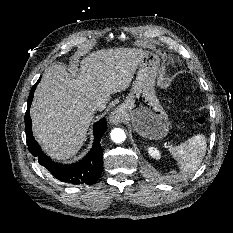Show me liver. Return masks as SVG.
I'll list each match as a JSON object with an SVG mask.
<instances>
[{
	"label": "liver",
	"instance_id": "liver-1",
	"mask_svg": "<svg viewBox=\"0 0 233 233\" xmlns=\"http://www.w3.org/2000/svg\"><path fill=\"white\" fill-rule=\"evenodd\" d=\"M143 55L142 49H101L79 61L74 77L58 64L45 70L30 115L34 136L50 157L64 161L80 150L95 108L104 110L112 94L128 88Z\"/></svg>",
	"mask_w": 233,
	"mask_h": 233
}]
</instances>
